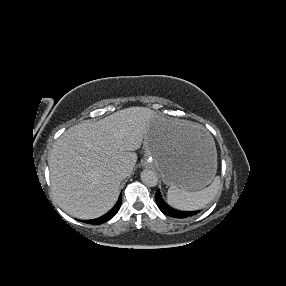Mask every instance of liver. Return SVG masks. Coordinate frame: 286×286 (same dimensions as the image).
Masks as SVG:
<instances>
[{"instance_id": "obj_1", "label": "liver", "mask_w": 286, "mask_h": 286, "mask_svg": "<svg viewBox=\"0 0 286 286\" xmlns=\"http://www.w3.org/2000/svg\"><path fill=\"white\" fill-rule=\"evenodd\" d=\"M166 121L172 136L195 139L205 132L190 121L166 119L146 107L119 110L98 122L67 129L54 143L48 164L51 190L58 206L80 219H94L109 211L119 196L114 168L123 165L129 176L136 150L153 120Z\"/></svg>"}]
</instances>
